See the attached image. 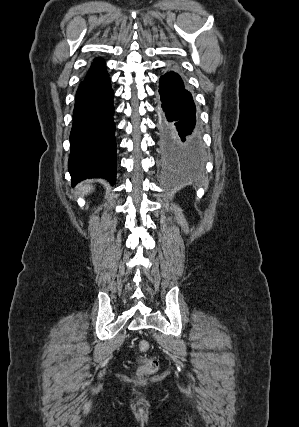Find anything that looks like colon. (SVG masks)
<instances>
[{
  "mask_svg": "<svg viewBox=\"0 0 299 427\" xmlns=\"http://www.w3.org/2000/svg\"><path fill=\"white\" fill-rule=\"evenodd\" d=\"M140 351L145 352L149 349V343L147 341H140L138 343ZM158 369V361L156 359H140L138 361V375L147 376L153 374Z\"/></svg>",
  "mask_w": 299,
  "mask_h": 427,
  "instance_id": "obj_1",
  "label": "colon"
}]
</instances>
